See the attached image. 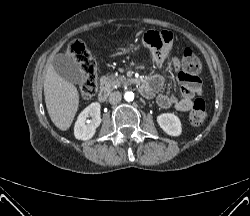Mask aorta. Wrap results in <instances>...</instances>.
I'll return each instance as SVG.
<instances>
[{
	"mask_svg": "<svg viewBox=\"0 0 250 216\" xmlns=\"http://www.w3.org/2000/svg\"><path fill=\"white\" fill-rule=\"evenodd\" d=\"M124 98L127 102L133 101L134 100V93L131 91H128L124 94Z\"/></svg>",
	"mask_w": 250,
	"mask_h": 216,
	"instance_id": "obj_1",
	"label": "aorta"
}]
</instances>
